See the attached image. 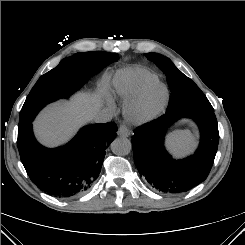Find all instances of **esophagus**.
<instances>
[{"label": "esophagus", "instance_id": "esophagus-1", "mask_svg": "<svg viewBox=\"0 0 245 245\" xmlns=\"http://www.w3.org/2000/svg\"><path fill=\"white\" fill-rule=\"evenodd\" d=\"M117 134L122 137H128L130 135V130L126 125L122 124L118 128Z\"/></svg>", "mask_w": 245, "mask_h": 245}]
</instances>
